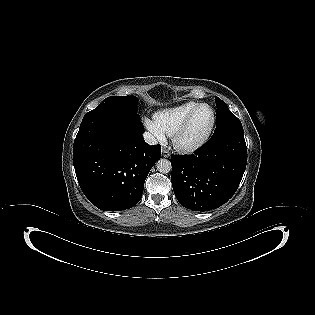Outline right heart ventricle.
<instances>
[{"instance_id":"obj_1","label":"right heart ventricle","mask_w":315,"mask_h":315,"mask_svg":"<svg viewBox=\"0 0 315 315\" xmlns=\"http://www.w3.org/2000/svg\"><path fill=\"white\" fill-rule=\"evenodd\" d=\"M199 104L197 101H187L164 109L155 114V121L167 136H173L185 118Z\"/></svg>"}]
</instances>
